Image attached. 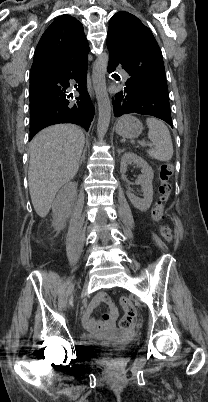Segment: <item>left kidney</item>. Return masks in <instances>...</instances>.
I'll return each instance as SVG.
<instances>
[{"label":"left kidney","instance_id":"5707ae66","mask_svg":"<svg viewBox=\"0 0 208 402\" xmlns=\"http://www.w3.org/2000/svg\"><path fill=\"white\" fill-rule=\"evenodd\" d=\"M129 164H138L139 168H142V176H138V184H141L143 188V198H137L134 194H131L130 188H128L127 198H129L130 202H132L134 208H138L141 212H146L149 210L152 200H153V188H152V180H153V170L143 158L137 156V154H133V152H126L123 154L120 166L121 174H125L127 172V168Z\"/></svg>","mask_w":208,"mask_h":402}]
</instances>
